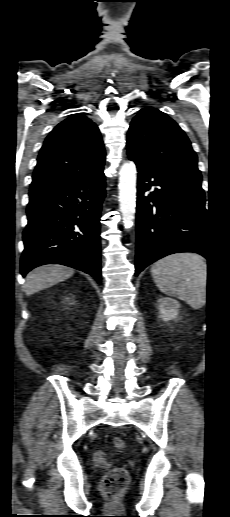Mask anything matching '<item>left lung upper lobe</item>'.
<instances>
[{"mask_svg":"<svg viewBox=\"0 0 230 517\" xmlns=\"http://www.w3.org/2000/svg\"><path fill=\"white\" fill-rule=\"evenodd\" d=\"M127 154L161 172L201 180L189 139L174 120L153 107L141 109L133 118Z\"/></svg>","mask_w":230,"mask_h":517,"instance_id":"5c2ea615","label":"left lung upper lobe"}]
</instances>
